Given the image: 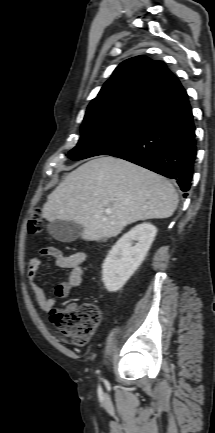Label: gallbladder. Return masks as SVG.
Returning <instances> with one entry per match:
<instances>
[{"instance_id": "bac80fb5", "label": "gallbladder", "mask_w": 215, "mask_h": 433, "mask_svg": "<svg viewBox=\"0 0 215 433\" xmlns=\"http://www.w3.org/2000/svg\"><path fill=\"white\" fill-rule=\"evenodd\" d=\"M47 230L55 240L70 243L80 237L83 227L73 221L54 220L48 224Z\"/></svg>"}]
</instances>
